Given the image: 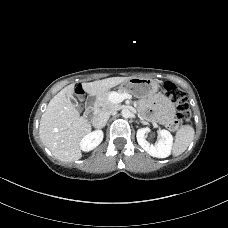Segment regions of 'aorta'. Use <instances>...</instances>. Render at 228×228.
<instances>
[{"mask_svg": "<svg viewBox=\"0 0 228 228\" xmlns=\"http://www.w3.org/2000/svg\"><path fill=\"white\" fill-rule=\"evenodd\" d=\"M121 114H122V117H124V118H130L131 117V111L127 108H124L121 111Z\"/></svg>", "mask_w": 228, "mask_h": 228, "instance_id": "aorta-1", "label": "aorta"}]
</instances>
